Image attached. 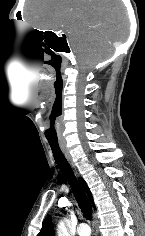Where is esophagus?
I'll use <instances>...</instances> for the list:
<instances>
[{"instance_id":"esophagus-1","label":"esophagus","mask_w":145,"mask_h":236,"mask_svg":"<svg viewBox=\"0 0 145 236\" xmlns=\"http://www.w3.org/2000/svg\"><path fill=\"white\" fill-rule=\"evenodd\" d=\"M60 147H61V150L64 153L65 157L67 158V160L71 164V166L75 167V165H74V163L72 161L71 155H70L68 149L66 148V146L63 143H60Z\"/></svg>"}]
</instances>
